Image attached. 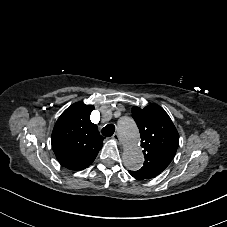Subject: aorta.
I'll return each mask as SVG.
<instances>
[{
  "mask_svg": "<svg viewBox=\"0 0 227 227\" xmlns=\"http://www.w3.org/2000/svg\"><path fill=\"white\" fill-rule=\"evenodd\" d=\"M118 131L124 144L123 163L131 171L139 170L144 162V155L140 147V134L135 122L124 117L118 122Z\"/></svg>",
  "mask_w": 227,
  "mask_h": 227,
  "instance_id": "obj_1",
  "label": "aorta"
}]
</instances>
